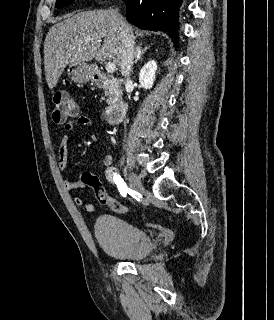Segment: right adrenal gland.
I'll use <instances>...</instances> for the list:
<instances>
[{"instance_id": "obj_1", "label": "right adrenal gland", "mask_w": 274, "mask_h": 320, "mask_svg": "<svg viewBox=\"0 0 274 320\" xmlns=\"http://www.w3.org/2000/svg\"><path fill=\"white\" fill-rule=\"evenodd\" d=\"M150 46H148V48H144V50H142L141 48V44H139V46H137L136 50H135V64H137V62H139V60H141L143 54H145L146 50H149Z\"/></svg>"}]
</instances>
